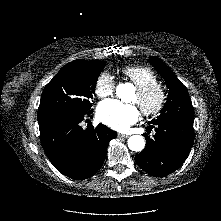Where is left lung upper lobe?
Returning <instances> with one entry per match:
<instances>
[{"label": "left lung upper lobe", "instance_id": "left-lung-upper-lobe-1", "mask_svg": "<svg viewBox=\"0 0 221 221\" xmlns=\"http://www.w3.org/2000/svg\"><path fill=\"white\" fill-rule=\"evenodd\" d=\"M148 61L161 74L169 88L167 102L161 110L160 115L149 123L156 124L164 120L193 121V106L186 87L162 60L151 56Z\"/></svg>", "mask_w": 221, "mask_h": 221}]
</instances>
